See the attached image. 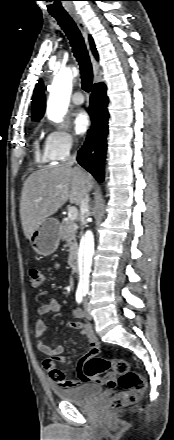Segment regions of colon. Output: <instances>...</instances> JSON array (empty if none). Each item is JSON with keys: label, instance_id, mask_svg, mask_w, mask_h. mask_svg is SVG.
<instances>
[{"label": "colon", "instance_id": "obj_1", "mask_svg": "<svg viewBox=\"0 0 174 440\" xmlns=\"http://www.w3.org/2000/svg\"><path fill=\"white\" fill-rule=\"evenodd\" d=\"M29 278L31 285L35 288L41 287L45 281L43 271L37 267L29 269ZM109 370L118 375V379L110 375L104 382L110 387L118 385L121 388V392L109 400V408L120 409L137 403L146 389V383L139 373L130 368L126 360L92 358L84 364V374L88 379H93L98 374Z\"/></svg>", "mask_w": 174, "mask_h": 440}]
</instances>
